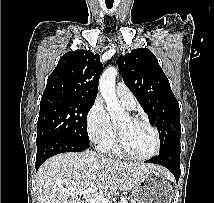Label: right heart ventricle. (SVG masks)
Listing matches in <instances>:
<instances>
[{"label": "right heart ventricle", "mask_w": 214, "mask_h": 203, "mask_svg": "<svg viewBox=\"0 0 214 203\" xmlns=\"http://www.w3.org/2000/svg\"><path fill=\"white\" fill-rule=\"evenodd\" d=\"M100 148L103 152H105L107 154L119 155L120 152H119L118 147H117V136H116V134L109 142H107L106 144H104Z\"/></svg>", "instance_id": "e07e8e85"}]
</instances>
